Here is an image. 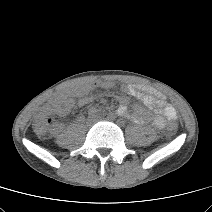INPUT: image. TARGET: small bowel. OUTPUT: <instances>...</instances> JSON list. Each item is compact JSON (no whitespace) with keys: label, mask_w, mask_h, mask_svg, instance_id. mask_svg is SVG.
<instances>
[{"label":"small bowel","mask_w":212,"mask_h":212,"mask_svg":"<svg viewBox=\"0 0 212 212\" xmlns=\"http://www.w3.org/2000/svg\"><path fill=\"white\" fill-rule=\"evenodd\" d=\"M113 87L114 83L111 81H94L75 85L54 98L53 109L61 116H66L75 105L86 106L98 98L100 94L95 90L110 91ZM120 90V94H111L119 103L117 114L120 116H128L129 96H132L140 99L148 107L158 106L160 108V114L152 117L142 107L137 106L132 118L138 124L152 123L156 128H163L167 121H173L177 118L175 108L167 103L164 95L153 87L125 84L120 87ZM60 128L61 126L57 125L54 131L58 132Z\"/></svg>","instance_id":"1"}]
</instances>
